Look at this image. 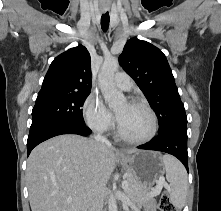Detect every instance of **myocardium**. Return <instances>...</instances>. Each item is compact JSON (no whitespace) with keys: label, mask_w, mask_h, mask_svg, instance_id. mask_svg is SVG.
<instances>
[{"label":"myocardium","mask_w":221,"mask_h":211,"mask_svg":"<svg viewBox=\"0 0 221 211\" xmlns=\"http://www.w3.org/2000/svg\"><path fill=\"white\" fill-rule=\"evenodd\" d=\"M129 103L143 107L150 114L151 120H152V127L150 130V133L146 137L141 138V139L130 138L122 132L119 122H118L117 123V135L123 141L130 143V144H136V145L145 144V143L151 141L157 133L158 119H157L156 113L148 103H146L143 100H140L138 98H131L129 100Z\"/></svg>","instance_id":"f54148a6"}]
</instances>
